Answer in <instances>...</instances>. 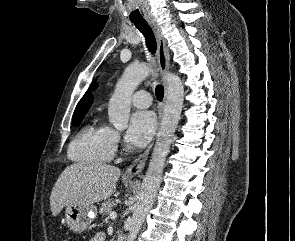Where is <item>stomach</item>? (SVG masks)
I'll list each match as a JSON object with an SVG mask.
<instances>
[{"instance_id":"1","label":"stomach","mask_w":295,"mask_h":241,"mask_svg":"<svg viewBox=\"0 0 295 241\" xmlns=\"http://www.w3.org/2000/svg\"><path fill=\"white\" fill-rule=\"evenodd\" d=\"M97 216L93 204H69L65 210V221L73 232H84Z\"/></svg>"}]
</instances>
